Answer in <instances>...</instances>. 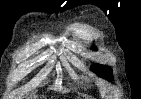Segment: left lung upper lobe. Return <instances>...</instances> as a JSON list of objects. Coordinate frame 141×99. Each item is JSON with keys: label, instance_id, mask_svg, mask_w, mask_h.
I'll use <instances>...</instances> for the list:
<instances>
[{"label": "left lung upper lobe", "instance_id": "obj_1", "mask_svg": "<svg viewBox=\"0 0 141 99\" xmlns=\"http://www.w3.org/2000/svg\"><path fill=\"white\" fill-rule=\"evenodd\" d=\"M92 71L97 73L99 76L107 79V80H112V70L110 67L105 66V65H100V64H95L92 66Z\"/></svg>", "mask_w": 141, "mask_h": 99}]
</instances>
